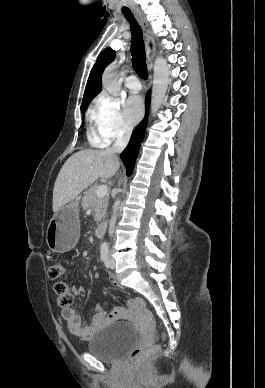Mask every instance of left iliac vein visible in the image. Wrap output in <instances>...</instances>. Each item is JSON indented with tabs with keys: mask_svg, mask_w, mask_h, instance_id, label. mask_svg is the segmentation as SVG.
Masks as SVG:
<instances>
[{
	"mask_svg": "<svg viewBox=\"0 0 265 388\" xmlns=\"http://www.w3.org/2000/svg\"><path fill=\"white\" fill-rule=\"evenodd\" d=\"M108 267L111 268V269L115 268V261L111 257H110L109 262H108Z\"/></svg>",
	"mask_w": 265,
	"mask_h": 388,
	"instance_id": "1",
	"label": "left iliac vein"
}]
</instances>
